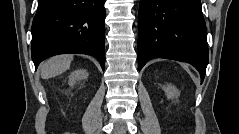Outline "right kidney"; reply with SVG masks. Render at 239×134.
I'll return each mask as SVG.
<instances>
[{"instance_id": "ca27d5eb", "label": "right kidney", "mask_w": 239, "mask_h": 134, "mask_svg": "<svg viewBox=\"0 0 239 134\" xmlns=\"http://www.w3.org/2000/svg\"><path fill=\"white\" fill-rule=\"evenodd\" d=\"M88 77V72L84 69H79L73 71L69 77H68V83L69 85L73 86L76 84V82L80 80H84Z\"/></svg>"}]
</instances>
